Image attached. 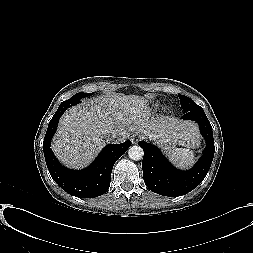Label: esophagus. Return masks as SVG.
Returning a JSON list of instances; mask_svg holds the SVG:
<instances>
[{
  "instance_id": "1",
  "label": "esophagus",
  "mask_w": 253,
  "mask_h": 253,
  "mask_svg": "<svg viewBox=\"0 0 253 253\" xmlns=\"http://www.w3.org/2000/svg\"><path fill=\"white\" fill-rule=\"evenodd\" d=\"M140 135H138V134H134L133 136H132V138H131V140H132V142L134 143V144H136L139 140H140Z\"/></svg>"
}]
</instances>
